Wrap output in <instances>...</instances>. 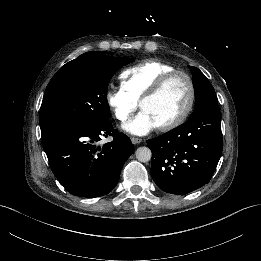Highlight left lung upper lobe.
Wrapping results in <instances>:
<instances>
[{"instance_id":"1","label":"left lung upper lobe","mask_w":261,"mask_h":261,"mask_svg":"<svg viewBox=\"0 0 261 261\" xmlns=\"http://www.w3.org/2000/svg\"><path fill=\"white\" fill-rule=\"evenodd\" d=\"M193 77L194 93L196 96L195 109L191 116L205 109L217 108L215 91L205 75L195 67L190 68Z\"/></svg>"}]
</instances>
